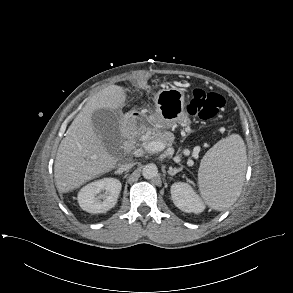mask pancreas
Here are the masks:
<instances>
[{"label":"pancreas","instance_id":"cf45deb5","mask_svg":"<svg viewBox=\"0 0 293 293\" xmlns=\"http://www.w3.org/2000/svg\"><path fill=\"white\" fill-rule=\"evenodd\" d=\"M173 134L168 131L161 130H148L145 132L141 139H143V147H146V144L151 141H160L165 144V146H171L173 142ZM146 149V148H145Z\"/></svg>","mask_w":293,"mask_h":293}]
</instances>
